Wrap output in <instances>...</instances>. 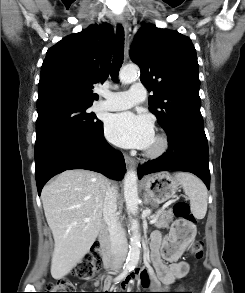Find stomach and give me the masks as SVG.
Masks as SVG:
<instances>
[{
	"label": "stomach",
	"instance_id": "obj_1",
	"mask_svg": "<svg viewBox=\"0 0 245 293\" xmlns=\"http://www.w3.org/2000/svg\"><path fill=\"white\" fill-rule=\"evenodd\" d=\"M143 184L146 195L154 204H161L173 198L179 188L175 179L165 172L146 177ZM190 232V236L184 239L186 244L194 238L196 234L195 228L191 226Z\"/></svg>",
	"mask_w": 245,
	"mask_h": 293
}]
</instances>
